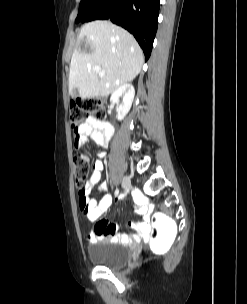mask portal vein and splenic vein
Masks as SVG:
<instances>
[{"mask_svg": "<svg viewBox=\"0 0 247 304\" xmlns=\"http://www.w3.org/2000/svg\"><path fill=\"white\" fill-rule=\"evenodd\" d=\"M94 70L98 73V75H99L100 77L105 76V72L101 70V67H100V66H95V67H94Z\"/></svg>", "mask_w": 247, "mask_h": 304, "instance_id": "obj_1", "label": "portal vein and splenic vein"}]
</instances>
